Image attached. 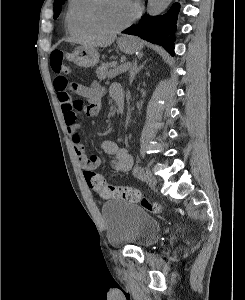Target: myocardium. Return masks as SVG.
<instances>
[{
  "label": "myocardium",
  "instance_id": "1",
  "mask_svg": "<svg viewBox=\"0 0 245 300\" xmlns=\"http://www.w3.org/2000/svg\"><path fill=\"white\" fill-rule=\"evenodd\" d=\"M97 2H98V0H86V3L83 7L82 14H81L84 25L89 30H91L92 32H94L96 34L113 35V34L120 33L123 30H125L126 28H128L130 25H132L133 22L137 19L138 15H139L138 6L131 1L133 8H134L131 18L126 23H124L123 25H121L119 27H116L113 29H106V28L99 26L93 19V9Z\"/></svg>",
  "mask_w": 245,
  "mask_h": 300
}]
</instances>
